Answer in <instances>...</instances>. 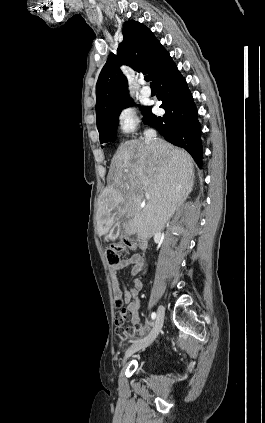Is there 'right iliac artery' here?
Returning <instances> with one entry per match:
<instances>
[{
    "mask_svg": "<svg viewBox=\"0 0 265 423\" xmlns=\"http://www.w3.org/2000/svg\"><path fill=\"white\" fill-rule=\"evenodd\" d=\"M151 317H152V319L154 320V319L156 318V313H155V312H153V313L151 314Z\"/></svg>",
    "mask_w": 265,
    "mask_h": 423,
    "instance_id": "obj_1",
    "label": "right iliac artery"
}]
</instances>
